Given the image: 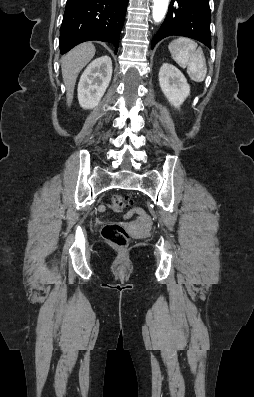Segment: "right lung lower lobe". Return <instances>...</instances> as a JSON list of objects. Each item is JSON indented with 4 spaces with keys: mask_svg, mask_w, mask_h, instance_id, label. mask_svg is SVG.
<instances>
[{
    "mask_svg": "<svg viewBox=\"0 0 254 397\" xmlns=\"http://www.w3.org/2000/svg\"><path fill=\"white\" fill-rule=\"evenodd\" d=\"M127 5L128 0H67L60 28V53L90 40L110 42L117 53Z\"/></svg>",
    "mask_w": 254,
    "mask_h": 397,
    "instance_id": "98d812e1",
    "label": "right lung lower lobe"
}]
</instances>
